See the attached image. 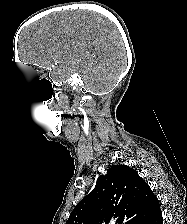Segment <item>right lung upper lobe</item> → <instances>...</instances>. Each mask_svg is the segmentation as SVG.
Returning a JSON list of instances; mask_svg holds the SVG:
<instances>
[{"label":"right lung upper lobe","mask_w":187,"mask_h":224,"mask_svg":"<svg viewBox=\"0 0 187 224\" xmlns=\"http://www.w3.org/2000/svg\"><path fill=\"white\" fill-rule=\"evenodd\" d=\"M160 210L159 201L137 171L112 165L95 188L71 212L66 224H99L119 217V224L136 222Z\"/></svg>","instance_id":"right-lung-upper-lobe-1"}]
</instances>
